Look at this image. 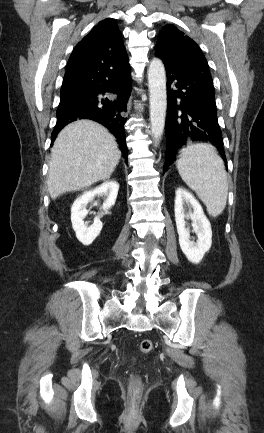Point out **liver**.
<instances>
[{
    "instance_id": "obj_1",
    "label": "liver",
    "mask_w": 264,
    "mask_h": 433,
    "mask_svg": "<svg viewBox=\"0 0 264 433\" xmlns=\"http://www.w3.org/2000/svg\"><path fill=\"white\" fill-rule=\"evenodd\" d=\"M121 152L106 128L90 120L67 125L51 149L48 191L52 199L110 178Z\"/></svg>"
}]
</instances>
